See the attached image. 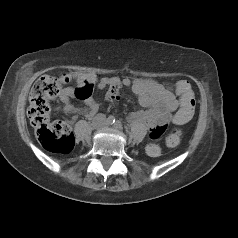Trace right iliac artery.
Listing matches in <instances>:
<instances>
[{
  "label": "right iliac artery",
  "instance_id": "obj_1",
  "mask_svg": "<svg viewBox=\"0 0 238 238\" xmlns=\"http://www.w3.org/2000/svg\"><path fill=\"white\" fill-rule=\"evenodd\" d=\"M107 122L109 124H113L115 122V120L113 119V117H110V118H108Z\"/></svg>",
  "mask_w": 238,
  "mask_h": 238
}]
</instances>
